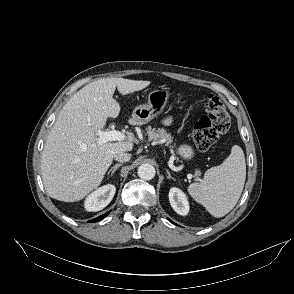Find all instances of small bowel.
<instances>
[{
    "label": "small bowel",
    "instance_id": "1",
    "mask_svg": "<svg viewBox=\"0 0 294 294\" xmlns=\"http://www.w3.org/2000/svg\"><path fill=\"white\" fill-rule=\"evenodd\" d=\"M165 122H166V123H169V122H170V119H169V118H167V119L165 120Z\"/></svg>",
    "mask_w": 294,
    "mask_h": 294
}]
</instances>
